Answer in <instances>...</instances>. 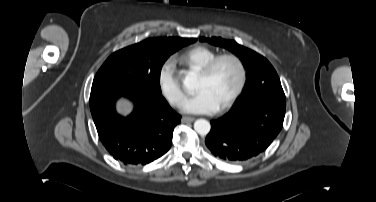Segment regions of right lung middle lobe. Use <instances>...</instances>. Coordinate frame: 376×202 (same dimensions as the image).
<instances>
[{"label":"right lung middle lobe","mask_w":376,"mask_h":202,"mask_svg":"<svg viewBox=\"0 0 376 202\" xmlns=\"http://www.w3.org/2000/svg\"><path fill=\"white\" fill-rule=\"evenodd\" d=\"M195 38H149L113 53L97 72L92 89L107 85L142 86L161 93L160 72L166 59Z\"/></svg>","instance_id":"1"}]
</instances>
